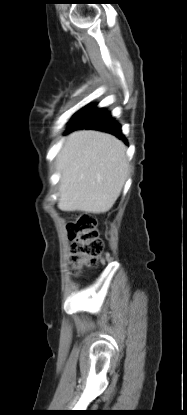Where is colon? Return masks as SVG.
I'll return each mask as SVG.
<instances>
[{
    "mask_svg": "<svg viewBox=\"0 0 187 415\" xmlns=\"http://www.w3.org/2000/svg\"><path fill=\"white\" fill-rule=\"evenodd\" d=\"M68 233L71 240L70 264L73 270L95 266L104 250L96 218L91 214L79 215L69 223Z\"/></svg>",
    "mask_w": 187,
    "mask_h": 415,
    "instance_id": "obj_1",
    "label": "colon"
}]
</instances>
